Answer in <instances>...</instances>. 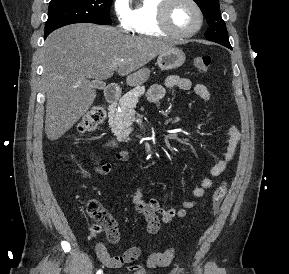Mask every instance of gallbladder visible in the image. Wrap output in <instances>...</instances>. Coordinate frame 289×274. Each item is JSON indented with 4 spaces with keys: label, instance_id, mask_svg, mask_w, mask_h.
Segmentation results:
<instances>
[{
    "label": "gallbladder",
    "instance_id": "gallbladder-1",
    "mask_svg": "<svg viewBox=\"0 0 289 274\" xmlns=\"http://www.w3.org/2000/svg\"><path fill=\"white\" fill-rule=\"evenodd\" d=\"M105 87V83L102 81L95 82V88L96 89H103Z\"/></svg>",
    "mask_w": 289,
    "mask_h": 274
}]
</instances>
